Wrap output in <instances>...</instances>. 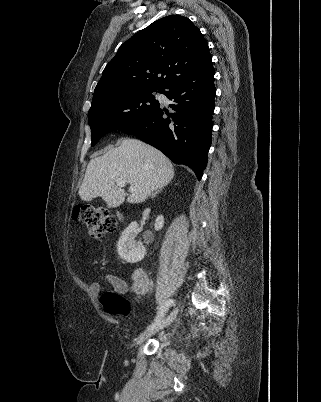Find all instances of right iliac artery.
<instances>
[{"label": "right iliac artery", "instance_id": "82829eb1", "mask_svg": "<svg viewBox=\"0 0 321 402\" xmlns=\"http://www.w3.org/2000/svg\"><path fill=\"white\" fill-rule=\"evenodd\" d=\"M173 303H174V300L169 299V300H167V301H165V302L160 304V308H159V311L157 313V316H156L154 322L149 327H147V330H152V329H154V328H156L157 326L160 325V323L162 322V319H163L166 311L168 310V308Z\"/></svg>", "mask_w": 321, "mask_h": 402}]
</instances>
